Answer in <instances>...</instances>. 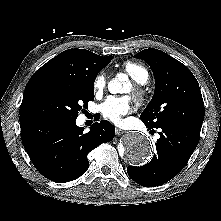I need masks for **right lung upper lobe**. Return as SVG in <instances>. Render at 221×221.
I'll list each match as a JSON object with an SVG mask.
<instances>
[{"instance_id": "right-lung-upper-lobe-1", "label": "right lung upper lobe", "mask_w": 221, "mask_h": 221, "mask_svg": "<svg viewBox=\"0 0 221 221\" xmlns=\"http://www.w3.org/2000/svg\"><path fill=\"white\" fill-rule=\"evenodd\" d=\"M111 60L112 56L102 57L85 49L63 51L33 74L27 83L24 96L33 86L46 79H92Z\"/></svg>"}]
</instances>
